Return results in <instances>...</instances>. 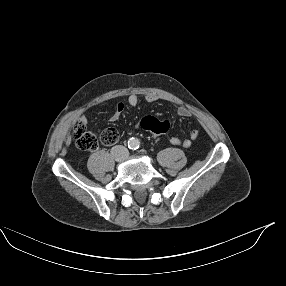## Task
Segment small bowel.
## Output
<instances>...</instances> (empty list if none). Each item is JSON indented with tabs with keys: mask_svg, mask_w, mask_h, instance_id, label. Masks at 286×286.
Returning a JSON list of instances; mask_svg holds the SVG:
<instances>
[{
	"mask_svg": "<svg viewBox=\"0 0 286 286\" xmlns=\"http://www.w3.org/2000/svg\"><path fill=\"white\" fill-rule=\"evenodd\" d=\"M145 100L149 103L155 102L158 100V97L154 94H147L145 96ZM127 104L131 107H136L139 104V98L137 95L132 94L127 99ZM125 109L124 103H118L115 108V112L113 113L111 117V121H116L120 118L123 111ZM177 114L180 117L187 118L192 115L191 111L185 107H179L177 109ZM81 121L86 124V119L83 117L81 118ZM141 121V120H140ZM140 121L137 124V128H141ZM199 135V132L197 130H191L189 133L188 138H179V137H171L170 143L177 146H182L183 148H189L192 145V142L197 139Z\"/></svg>",
	"mask_w": 286,
	"mask_h": 286,
	"instance_id": "small-bowel-1",
	"label": "small bowel"
}]
</instances>
